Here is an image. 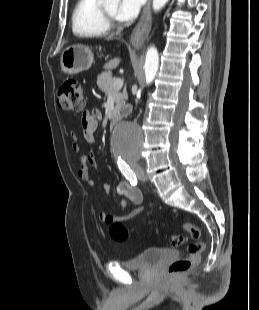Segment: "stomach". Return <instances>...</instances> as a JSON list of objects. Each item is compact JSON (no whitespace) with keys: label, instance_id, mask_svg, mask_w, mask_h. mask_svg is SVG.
I'll list each match as a JSON object with an SVG mask.
<instances>
[{"label":"stomach","instance_id":"1","mask_svg":"<svg viewBox=\"0 0 259 310\" xmlns=\"http://www.w3.org/2000/svg\"><path fill=\"white\" fill-rule=\"evenodd\" d=\"M93 63V53L85 45H71L63 50L60 65L61 70L68 75L88 70Z\"/></svg>","mask_w":259,"mask_h":310}]
</instances>
